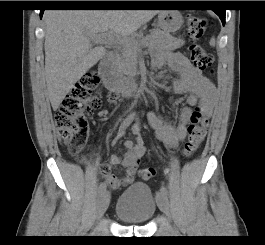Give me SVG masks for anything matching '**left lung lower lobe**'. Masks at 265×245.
<instances>
[{
	"mask_svg": "<svg viewBox=\"0 0 265 245\" xmlns=\"http://www.w3.org/2000/svg\"><path fill=\"white\" fill-rule=\"evenodd\" d=\"M221 19L223 25L225 24V10L224 9H214L213 10Z\"/></svg>",
	"mask_w": 265,
	"mask_h": 245,
	"instance_id": "obj_1",
	"label": "left lung lower lobe"
}]
</instances>
